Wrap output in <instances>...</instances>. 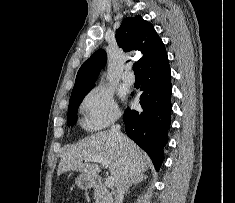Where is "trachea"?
Returning <instances> with one entry per match:
<instances>
[{
	"instance_id": "1",
	"label": "trachea",
	"mask_w": 235,
	"mask_h": 203,
	"mask_svg": "<svg viewBox=\"0 0 235 203\" xmlns=\"http://www.w3.org/2000/svg\"><path fill=\"white\" fill-rule=\"evenodd\" d=\"M133 70H134L135 76H140L141 71H140L139 63L133 64Z\"/></svg>"
}]
</instances>
